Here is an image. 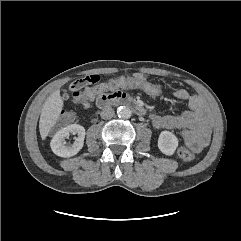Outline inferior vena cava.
Returning a JSON list of instances; mask_svg holds the SVG:
<instances>
[{
    "mask_svg": "<svg viewBox=\"0 0 241 241\" xmlns=\"http://www.w3.org/2000/svg\"><path fill=\"white\" fill-rule=\"evenodd\" d=\"M114 113L115 112L112 107H106L101 111L100 116L103 119H110L114 116Z\"/></svg>",
    "mask_w": 241,
    "mask_h": 241,
    "instance_id": "602c4592",
    "label": "inferior vena cava"
}]
</instances>
